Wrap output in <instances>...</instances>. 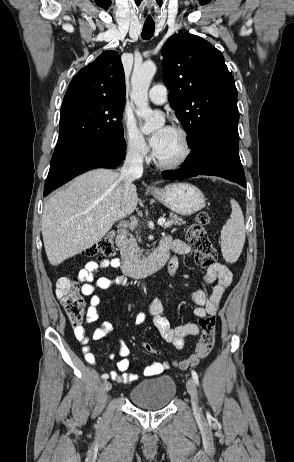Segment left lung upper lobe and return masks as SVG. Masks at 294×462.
<instances>
[{"instance_id": "obj_1", "label": "left lung upper lobe", "mask_w": 294, "mask_h": 462, "mask_svg": "<svg viewBox=\"0 0 294 462\" xmlns=\"http://www.w3.org/2000/svg\"><path fill=\"white\" fill-rule=\"evenodd\" d=\"M161 52L168 99L192 146L217 121L238 112L234 78L222 53L199 36L173 35Z\"/></svg>"}]
</instances>
